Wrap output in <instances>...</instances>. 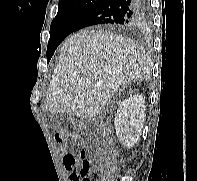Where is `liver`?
Returning <instances> with one entry per match:
<instances>
[{
  "label": "liver",
  "mask_w": 197,
  "mask_h": 181,
  "mask_svg": "<svg viewBox=\"0 0 197 181\" xmlns=\"http://www.w3.org/2000/svg\"><path fill=\"white\" fill-rule=\"evenodd\" d=\"M150 57L130 38L103 30H84L64 43L47 93L46 108L94 118L133 80H149Z\"/></svg>",
  "instance_id": "6515ba94"
}]
</instances>
